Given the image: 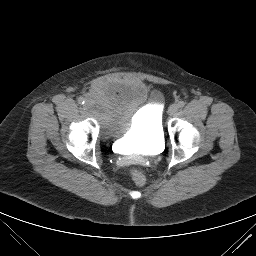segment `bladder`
<instances>
[{"mask_svg": "<svg viewBox=\"0 0 256 256\" xmlns=\"http://www.w3.org/2000/svg\"><path fill=\"white\" fill-rule=\"evenodd\" d=\"M87 107L103 137L125 136L128 146L149 150L164 141L162 95L141 82L103 80L88 94Z\"/></svg>", "mask_w": 256, "mask_h": 256, "instance_id": "31cf9c89", "label": "bladder"}]
</instances>
